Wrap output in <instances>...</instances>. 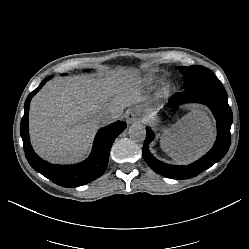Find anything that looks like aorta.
Returning <instances> with one entry per match:
<instances>
[{
	"label": "aorta",
	"instance_id": "1",
	"mask_svg": "<svg viewBox=\"0 0 249 249\" xmlns=\"http://www.w3.org/2000/svg\"><path fill=\"white\" fill-rule=\"evenodd\" d=\"M129 136L136 142H142L146 137V130L142 124H133L129 128Z\"/></svg>",
	"mask_w": 249,
	"mask_h": 249
}]
</instances>
